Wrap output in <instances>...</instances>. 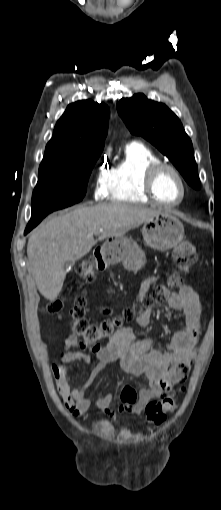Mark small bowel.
<instances>
[{
    "instance_id": "obj_1",
    "label": "small bowel",
    "mask_w": 221,
    "mask_h": 510,
    "mask_svg": "<svg viewBox=\"0 0 221 510\" xmlns=\"http://www.w3.org/2000/svg\"><path fill=\"white\" fill-rule=\"evenodd\" d=\"M158 278V275H151L144 280L137 295L138 302L142 301ZM168 305L184 317L186 329L167 336L140 338L132 329L124 327L107 343L92 346L89 352L85 351L87 345L77 336L70 335L66 338L59 354V364L53 365L52 370L60 396L74 416H79L90 409L92 403L86 397V389L103 369L113 363H118L125 373L143 376L148 387L137 393L132 388L122 385L123 404L116 411L110 409L114 400L112 393L96 400V408L106 416L112 417L117 412L140 414L153 399L174 395L173 386L185 380L197 354V342L202 328V309L198 292L187 284L180 285L171 294ZM137 323L143 328L150 326L149 309L137 316ZM93 360L96 365L85 383L80 387H73L70 365L75 362L88 364Z\"/></svg>"
}]
</instances>
